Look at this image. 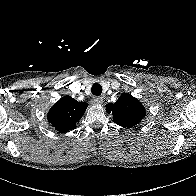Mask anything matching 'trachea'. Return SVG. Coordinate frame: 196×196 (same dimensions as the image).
I'll return each instance as SVG.
<instances>
[{"label": "trachea", "instance_id": "1", "mask_svg": "<svg viewBox=\"0 0 196 196\" xmlns=\"http://www.w3.org/2000/svg\"><path fill=\"white\" fill-rule=\"evenodd\" d=\"M92 94L95 95V96H99L101 95L102 93V86L98 83H95L93 86H92Z\"/></svg>", "mask_w": 196, "mask_h": 196}]
</instances>
